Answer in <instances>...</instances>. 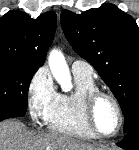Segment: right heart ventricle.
Returning <instances> with one entry per match:
<instances>
[{"label": "right heart ventricle", "instance_id": "1", "mask_svg": "<svg viewBox=\"0 0 139 150\" xmlns=\"http://www.w3.org/2000/svg\"><path fill=\"white\" fill-rule=\"evenodd\" d=\"M76 88L73 92L56 94L48 107L44 121L52 131L80 137L94 139L96 136L88 128L83 115V101L85 95L97 89L93 78L74 76Z\"/></svg>", "mask_w": 139, "mask_h": 150}]
</instances>
